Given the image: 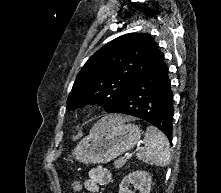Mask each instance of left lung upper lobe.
<instances>
[{
	"label": "left lung upper lobe",
	"mask_w": 221,
	"mask_h": 193,
	"mask_svg": "<svg viewBox=\"0 0 221 193\" xmlns=\"http://www.w3.org/2000/svg\"><path fill=\"white\" fill-rule=\"evenodd\" d=\"M163 53L147 33H129L95 52L76 77L67 109L98 103L106 111L119 102L132 82Z\"/></svg>",
	"instance_id": "left-lung-upper-lobe-1"
}]
</instances>
